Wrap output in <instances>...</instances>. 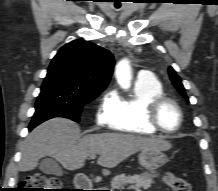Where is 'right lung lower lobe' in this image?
Listing matches in <instances>:
<instances>
[{
    "mask_svg": "<svg viewBox=\"0 0 218 191\" xmlns=\"http://www.w3.org/2000/svg\"><path fill=\"white\" fill-rule=\"evenodd\" d=\"M33 128H34L33 126L29 125V130H30V131H31Z\"/></svg>",
    "mask_w": 218,
    "mask_h": 191,
    "instance_id": "obj_1",
    "label": "right lung lower lobe"
}]
</instances>
